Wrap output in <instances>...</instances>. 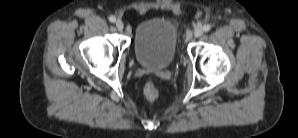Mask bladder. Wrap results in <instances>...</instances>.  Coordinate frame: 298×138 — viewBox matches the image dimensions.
Instances as JSON below:
<instances>
[{
	"label": "bladder",
	"mask_w": 298,
	"mask_h": 138,
	"mask_svg": "<svg viewBox=\"0 0 298 138\" xmlns=\"http://www.w3.org/2000/svg\"><path fill=\"white\" fill-rule=\"evenodd\" d=\"M178 31L166 18H150L139 23L133 34V51L143 67L164 69L175 58Z\"/></svg>",
	"instance_id": "obj_1"
}]
</instances>
